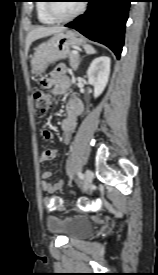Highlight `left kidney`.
<instances>
[{
    "instance_id": "1",
    "label": "left kidney",
    "mask_w": 158,
    "mask_h": 275,
    "mask_svg": "<svg viewBox=\"0 0 158 275\" xmlns=\"http://www.w3.org/2000/svg\"><path fill=\"white\" fill-rule=\"evenodd\" d=\"M111 59L108 56L95 58L87 70L89 83L94 87V97L97 98L104 91L110 75Z\"/></svg>"
}]
</instances>
